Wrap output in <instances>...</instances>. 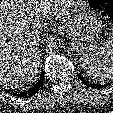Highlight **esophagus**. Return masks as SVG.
Returning <instances> with one entry per match:
<instances>
[{
	"label": "esophagus",
	"instance_id": "obj_1",
	"mask_svg": "<svg viewBox=\"0 0 113 113\" xmlns=\"http://www.w3.org/2000/svg\"><path fill=\"white\" fill-rule=\"evenodd\" d=\"M66 27L64 26V25H62V26H59L58 27V31H59V33H61V34H64L65 32H66Z\"/></svg>",
	"mask_w": 113,
	"mask_h": 113
}]
</instances>
